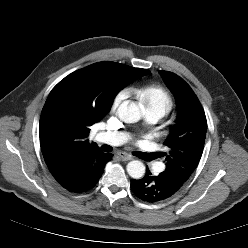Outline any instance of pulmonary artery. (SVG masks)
Returning a JSON list of instances; mask_svg holds the SVG:
<instances>
[{
	"mask_svg": "<svg viewBox=\"0 0 248 248\" xmlns=\"http://www.w3.org/2000/svg\"><path fill=\"white\" fill-rule=\"evenodd\" d=\"M163 117L162 114L154 111H146V119L149 123H156ZM127 134L123 132H99L95 140L109 145H120L127 141Z\"/></svg>",
	"mask_w": 248,
	"mask_h": 248,
	"instance_id": "pulmonary-artery-1",
	"label": "pulmonary artery"
}]
</instances>
